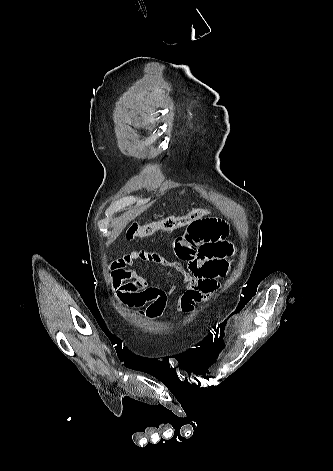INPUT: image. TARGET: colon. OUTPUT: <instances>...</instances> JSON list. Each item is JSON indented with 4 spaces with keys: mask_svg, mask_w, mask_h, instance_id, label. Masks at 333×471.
<instances>
[{
    "mask_svg": "<svg viewBox=\"0 0 333 471\" xmlns=\"http://www.w3.org/2000/svg\"><path fill=\"white\" fill-rule=\"evenodd\" d=\"M208 213L207 209L198 208L183 215H172L143 225L131 223L126 230V237L128 239L147 237L159 231L166 232L187 227L192 222L208 215Z\"/></svg>",
    "mask_w": 333,
    "mask_h": 471,
    "instance_id": "obj_1",
    "label": "colon"
}]
</instances>
